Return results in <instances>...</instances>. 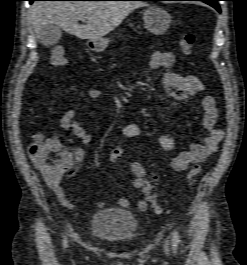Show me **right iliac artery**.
<instances>
[{"label": "right iliac artery", "mask_w": 247, "mask_h": 265, "mask_svg": "<svg viewBox=\"0 0 247 265\" xmlns=\"http://www.w3.org/2000/svg\"><path fill=\"white\" fill-rule=\"evenodd\" d=\"M66 243H67L66 238H64V240H63L64 247H66V245H67Z\"/></svg>", "instance_id": "obj_1"}]
</instances>
